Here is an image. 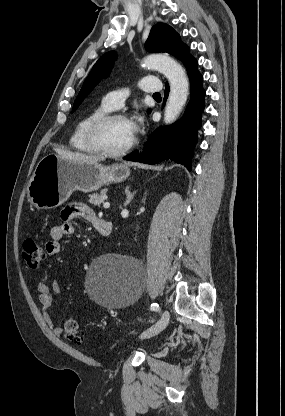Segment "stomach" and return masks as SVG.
<instances>
[{
  "mask_svg": "<svg viewBox=\"0 0 285 416\" xmlns=\"http://www.w3.org/2000/svg\"><path fill=\"white\" fill-rule=\"evenodd\" d=\"M130 176L126 164L102 166L98 162H74L57 154L40 160L27 186L28 202L38 210L62 206L72 192H96L102 186L124 182Z\"/></svg>",
  "mask_w": 285,
  "mask_h": 416,
  "instance_id": "stomach-1",
  "label": "stomach"
}]
</instances>
